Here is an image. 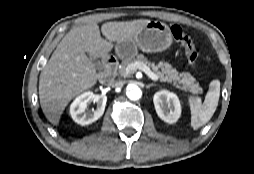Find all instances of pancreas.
I'll return each mask as SVG.
<instances>
[{"label":"pancreas","mask_w":254,"mask_h":174,"mask_svg":"<svg viewBox=\"0 0 254 174\" xmlns=\"http://www.w3.org/2000/svg\"><path fill=\"white\" fill-rule=\"evenodd\" d=\"M135 62H142L152 68L154 74L163 82L173 83L185 91L193 94L202 93V88L196 83V80L190 73H178L169 63L160 61L157 65L151 63L143 54H138L136 57L122 61L118 68V75L128 77L131 73H126V68Z\"/></svg>","instance_id":"pancreas-1"}]
</instances>
